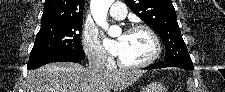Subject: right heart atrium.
<instances>
[{
	"mask_svg": "<svg viewBox=\"0 0 225 92\" xmlns=\"http://www.w3.org/2000/svg\"><path fill=\"white\" fill-rule=\"evenodd\" d=\"M82 42L87 56L96 63L105 66L109 58L100 43L98 32L94 27L86 26L82 33Z\"/></svg>",
	"mask_w": 225,
	"mask_h": 92,
	"instance_id": "1",
	"label": "right heart atrium"
}]
</instances>
